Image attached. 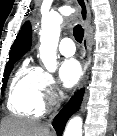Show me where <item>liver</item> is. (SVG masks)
I'll return each mask as SVG.
<instances>
[{"label":"liver","mask_w":117,"mask_h":136,"mask_svg":"<svg viewBox=\"0 0 117 136\" xmlns=\"http://www.w3.org/2000/svg\"><path fill=\"white\" fill-rule=\"evenodd\" d=\"M3 136H50L48 127L32 120L6 118L1 125Z\"/></svg>","instance_id":"liver-1"}]
</instances>
